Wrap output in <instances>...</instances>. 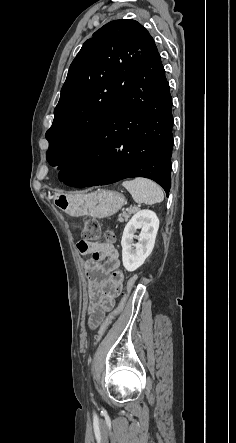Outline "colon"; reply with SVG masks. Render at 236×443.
<instances>
[{
	"instance_id": "5ec220e1",
	"label": "colon",
	"mask_w": 236,
	"mask_h": 443,
	"mask_svg": "<svg viewBox=\"0 0 236 443\" xmlns=\"http://www.w3.org/2000/svg\"><path fill=\"white\" fill-rule=\"evenodd\" d=\"M83 237L85 240L89 241L90 243H99L102 239H104L106 242H112L114 239V234L111 230L102 231L101 224L98 220L89 218L85 221L84 229H83ZM86 245L83 243L79 245V250H85ZM134 280H130L127 285V292H130L133 288ZM126 298H124L120 305L112 311L104 320V322L101 324L99 329L97 330L93 346L94 348H98L101 344V342L104 339V336L106 334V331L108 327L111 325V323L117 318V316L121 313V311L124 308Z\"/></svg>"
}]
</instances>
